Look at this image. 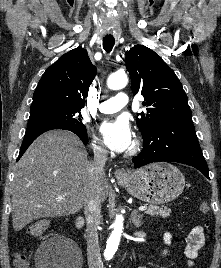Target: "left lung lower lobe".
<instances>
[{"label": "left lung lower lobe", "instance_id": "1", "mask_svg": "<svg viewBox=\"0 0 221 268\" xmlns=\"http://www.w3.org/2000/svg\"><path fill=\"white\" fill-rule=\"evenodd\" d=\"M143 141L142 151L133 158L135 168L160 161L179 162L195 167L209 179L192 122L160 123Z\"/></svg>", "mask_w": 221, "mask_h": 268}]
</instances>
